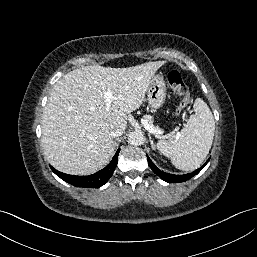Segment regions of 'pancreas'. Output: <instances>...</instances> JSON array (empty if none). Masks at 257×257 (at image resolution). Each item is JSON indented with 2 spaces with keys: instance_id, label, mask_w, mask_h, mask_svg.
<instances>
[{
  "instance_id": "obj_1",
  "label": "pancreas",
  "mask_w": 257,
  "mask_h": 257,
  "mask_svg": "<svg viewBox=\"0 0 257 257\" xmlns=\"http://www.w3.org/2000/svg\"><path fill=\"white\" fill-rule=\"evenodd\" d=\"M148 122H149V124H150L151 126L154 127V125H153V120H152V119H149Z\"/></svg>"
}]
</instances>
